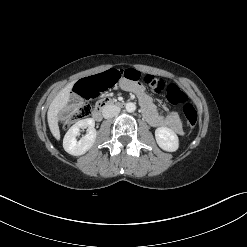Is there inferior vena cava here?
<instances>
[{"label":"inferior vena cava","mask_w":247,"mask_h":247,"mask_svg":"<svg viewBox=\"0 0 247 247\" xmlns=\"http://www.w3.org/2000/svg\"><path fill=\"white\" fill-rule=\"evenodd\" d=\"M120 112V108L114 104H107L102 109L103 117L106 119L117 116Z\"/></svg>","instance_id":"obj_1"}]
</instances>
